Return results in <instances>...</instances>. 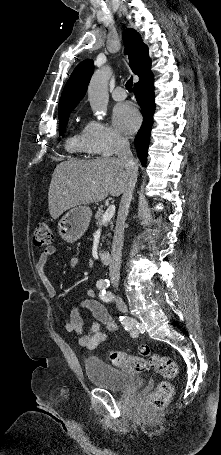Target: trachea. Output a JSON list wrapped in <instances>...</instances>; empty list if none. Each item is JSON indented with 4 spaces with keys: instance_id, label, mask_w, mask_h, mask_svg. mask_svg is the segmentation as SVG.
Returning a JSON list of instances; mask_svg holds the SVG:
<instances>
[{
    "instance_id": "obj_1",
    "label": "trachea",
    "mask_w": 221,
    "mask_h": 455,
    "mask_svg": "<svg viewBox=\"0 0 221 455\" xmlns=\"http://www.w3.org/2000/svg\"><path fill=\"white\" fill-rule=\"evenodd\" d=\"M132 85H133V79L131 77L125 84V87L129 92L133 91Z\"/></svg>"
}]
</instances>
